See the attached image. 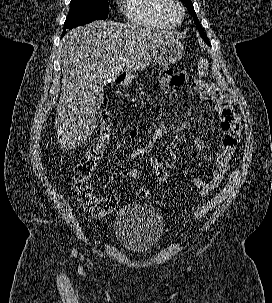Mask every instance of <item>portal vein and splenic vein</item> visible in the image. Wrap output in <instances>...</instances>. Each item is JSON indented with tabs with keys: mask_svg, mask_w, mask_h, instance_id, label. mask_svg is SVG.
I'll use <instances>...</instances> for the list:
<instances>
[{
	"mask_svg": "<svg viewBox=\"0 0 272 303\" xmlns=\"http://www.w3.org/2000/svg\"><path fill=\"white\" fill-rule=\"evenodd\" d=\"M123 62H127V60H126V59H123Z\"/></svg>",
	"mask_w": 272,
	"mask_h": 303,
	"instance_id": "18ae733b",
	"label": "portal vein and splenic vein"
}]
</instances>
